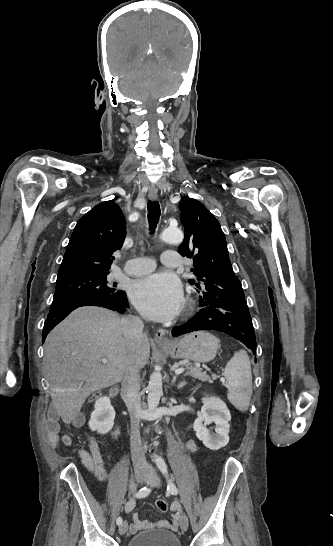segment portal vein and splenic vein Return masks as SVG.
Instances as JSON below:
<instances>
[{
  "mask_svg": "<svg viewBox=\"0 0 333 546\" xmlns=\"http://www.w3.org/2000/svg\"><path fill=\"white\" fill-rule=\"evenodd\" d=\"M106 362H107V359H105V358L102 359V363H106ZM184 371H185L184 368H178V369L175 370V374L179 375V374L183 373Z\"/></svg>",
  "mask_w": 333,
  "mask_h": 546,
  "instance_id": "1",
  "label": "portal vein and splenic vein"
}]
</instances>
